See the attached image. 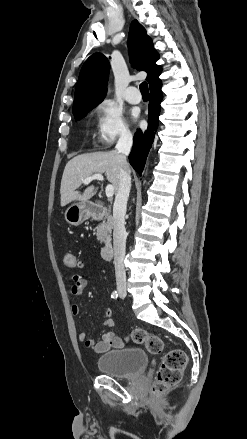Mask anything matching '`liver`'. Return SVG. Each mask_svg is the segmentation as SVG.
<instances>
[{
  "label": "liver",
  "instance_id": "6515ba94",
  "mask_svg": "<svg viewBox=\"0 0 247 439\" xmlns=\"http://www.w3.org/2000/svg\"><path fill=\"white\" fill-rule=\"evenodd\" d=\"M103 173L117 192L120 183V161L117 151L82 154L68 161L61 180V206L64 207L75 200L90 199L97 190L93 185L85 189L82 194L76 189L87 177Z\"/></svg>",
  "mask_w": 247,
  "mask_h": 439
}]
</instances>
